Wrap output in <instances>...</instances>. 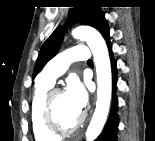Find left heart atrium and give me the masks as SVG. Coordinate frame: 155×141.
Segmentation results:
<instances>
[{
    "label": "left heart atrium",
    "instance_id": "1",
    "mask_svg": "<svg viewBox=\"0 0 155 141\" xmlns=\"http://www.w3.org/2000/svg\"><path fill=\"white\" fill-rule=\"evenodd\" d=\"M64 94L71 107L78 114H81L88 101V95L84 85L79 80H70Z\"/></svg>",
    "mask_w": 155,
    "mask_h": 141
}]
</instances>
